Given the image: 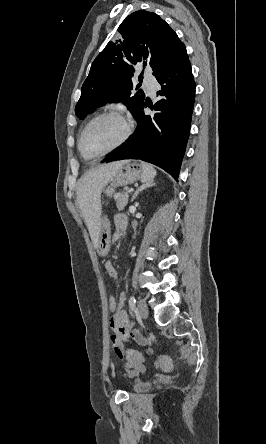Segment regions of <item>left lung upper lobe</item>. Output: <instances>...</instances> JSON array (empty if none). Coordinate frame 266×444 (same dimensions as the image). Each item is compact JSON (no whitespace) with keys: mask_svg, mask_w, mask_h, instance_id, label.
Returning a JSON list of instances; mask_svg holds the SVG:
<instances>
[{"mask_svg":"<svg viewBox=\"0 0 266 444\" xmlns=\"http://www.w3.org/2000/svg\"><path fill=\"white\" fill-rule=\"evenodd\" d=\"M118 31L122 36L110 41L96 57L82 85L75 107L80 119L110 101L123 102L135 116L145 95L142 90L132 93L133 65L150 66L157 77L186 52L174 30L153 12L138 10L130 14Z\"/></svg>","mask_w":266,"mask_h":444,"instance_id":"5c2ea615","label":"left lung upper lobe"}]
</instances>
